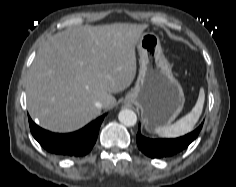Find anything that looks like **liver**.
<instances>
[{"mask_svg": "<svg viewBox=\"0 0 236 187\" xmlns=\"http://www.w3.org/2000/svg\"><path fill=\"white\" fill-rule=\"evenodd\" d=\"M147 25L80 26L57 33L38 49L26 79L30 116L53 132L75 131L116 104L112 95L136 74L135 46Z\"/></svg>", "mask_w": 236, "mask_h": 187, "instance_id": "liver-1", "label": "liver"}]
</instances>
